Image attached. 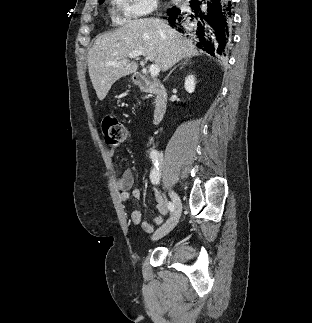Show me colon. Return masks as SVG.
Returning a JSON list of instances; mask_svg holds the SVG:
<instances>
[{
  "instance_id": "1",
  "label": "colon",
  "mask_w": 312,
  "mask_h": 323,
  "mask_svg": "<svg viewBox=\"0 0 312 323\" xmlns=\"http://www.w3.org/2000/svg\"><path fill=\"white\" fill-rule=\"evenodd\" d=\"M102 134L107 144L121 143L126 135L127 129L124 123L114 115H107L101 121Z\"/></svg>"
}]
</instances>
